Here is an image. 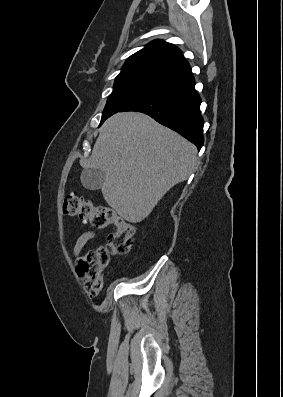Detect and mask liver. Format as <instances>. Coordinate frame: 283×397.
<instances>
[{
	"label": "liver",
	"mask_w": 283,
	"mask_h": 397,
	"mask_svg": "<svg viewBox=\"0 0 283 397\" xmlns=\"http://www.w3.org/2000/svg\"><path fill=\"white\" fill-rule=\"evenodd\" d=\"M82 166L101 169L107 204L126 221L139 223L195 171L197 148L143 113L123 112L106 120Z\"/></svg>",
	"instance_id": "liver-1"
}]
</instances>
